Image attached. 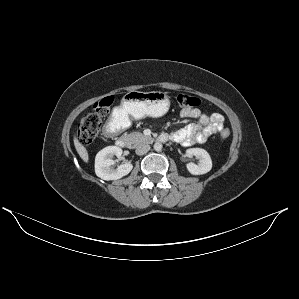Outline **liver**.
<instances>
[{"instance_id":"obj_1","label":"liver","mask_w":299,"mask_h":299,"mask_svg":"<svg viewBox=\"0 0 299 299\" xmlns=\"http://www.w3.org/2000/svg\"><path fill=\"white\" fill-rule=\"evenodd\" d=\"M74 146L80 158L87 163L89 161L88 151L76 137H74Z\"/></svg>"}]
</instances>
